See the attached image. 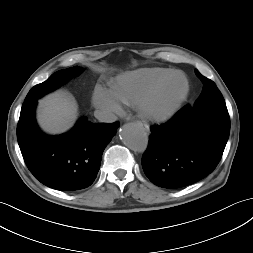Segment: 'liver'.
Masks as SVG:
<instances>
[{"instance_id": "6515ba94", "label": "liver", "mask_w": 253, "mask_h": 253, "mask_svg": "<svg viewBox=\"0 0 253 253\" xmlns=\"http://www.w3.org/2000/svg\"><path fill=\"white\" fill-rule=\"evenodd\" d=\"M77 115L76 102L63 91L52 93L39 101L37 120L47 133L67 131L75 123Z\"/></svg>"}]
</instances>
